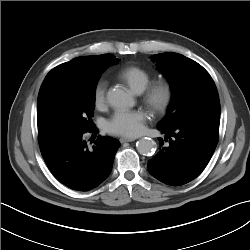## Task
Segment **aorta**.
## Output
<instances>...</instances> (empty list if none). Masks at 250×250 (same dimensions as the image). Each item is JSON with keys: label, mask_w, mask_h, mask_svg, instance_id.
<instances>
[{"label": "aorta", "mask_w": 250, "mask_h": 250, "mask_svg": "<svg viewBox=\"0 0 250 250\" xmlns=\"http://www.w3.org/2000/svg\"><path fill=\"white\" fill-rule=\"evenodd\" d=\"M107 100L111 106L118 109L127 108L133 103L131 95L117 87L109 89ZM136 148L141 155L150 156L156 150V143L151 138L145 137L137 141Z\"/></svg>", "instance_id": "762f6f07"}]
</instances>
